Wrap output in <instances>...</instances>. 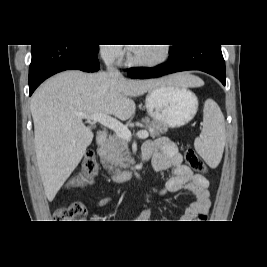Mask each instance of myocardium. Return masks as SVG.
Here are the masks:
<instances>
[{"label":"myocardium","instance_id":"obj_1","mask_svg":"<svg viewBox=\"0 0 267 267\" xmlns=\"http://www.w3.org/2000/svg\"><path fill=\"white\" fill-rule=\"evenodd\" d=\"M162 54L152 60H139L135 57L134 53L128 56V62L138 67H155L166 62L170 56L171 49L167 44H162Z\"/></svg>","mask_w":267,"mask_h":267}]
</instances>
